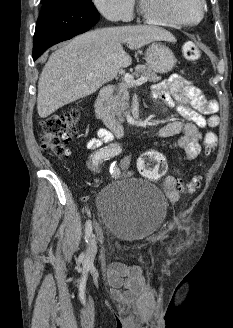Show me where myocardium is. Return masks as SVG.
Returning <instances> with one entry per match:
<instances>
[{
	"label": "myocardium",
	"instance_id": "obj_1",
	"mask_svg": "<svg viewBox=\"0 0 233 328\" xmlns=\"http://www.w3.org/2000/svg\"><path fill=\"white\" fill-rule=\"evenodd\" d=\"M200 4H201V13L199 18L193 22H185L161 12L156 1L139 0L140 10L148 20L159 24L178 26V27H193L200 24L203 21L206 14V0H200Z\"/></svg>",
	"mask_w": 233,
	"mask_h": 328
}]
</instances>
